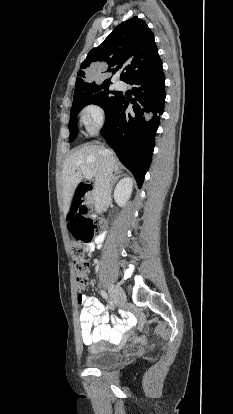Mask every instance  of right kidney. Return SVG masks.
Returning a JSON list of instances; mask_svg holds the SVG:
<instances>
[{
    "label": "right kidney",
    "instance_id": "ca27d5eb",
    "mask_svg": "<svg viewBox=\"0 0 233 414\" xmlns=\"http://www.w3.org/2000/svg\"><path fill=\"white\" fill-rule=\"evenodd\" d=\"M133 188V180L130 177H125L119 181L114 190V200L120 206L124 207L131 197Z\"/></svg>",
    "mask_w": 233,
    "mask_h": 414
}]
</instances>
